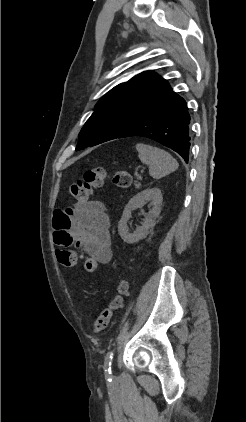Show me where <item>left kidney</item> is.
<instances>
[{"label":"left kidney","mask_w":246,"mask_h":422,"mask_svg":"<svg viewBox=\"0 0 246 422\" xmlns=\"http://www.w3.org/2000/svg\"><path fill=\"white\" fill-rule=\"evenodd\" d=\"M162 200L163 197L159 188H147L130 199L118 224V232L124 242L133 244L146 237L149 229L154 226L155 220L161 212ZM147 201H151L153 208L145 214L142 225L133 233H130L127 221L131 217L132 211L143 207Z\"/></svg>","instance_id":"left-kidney-1"}]
</instances>
